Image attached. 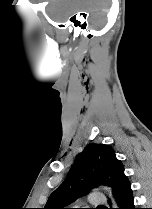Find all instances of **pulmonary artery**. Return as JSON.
I'll return each mask as SVG.
<instances>
[{"mask_svg": "<svg viewBox=\"0 0 152 209\" xmlns=\"http://www.w3.org/2000/svg\"><path fill=\"white\" fill-rule=\"evenodd\" d=\"M88 200L89 203L94 206L103 205L106 202V199L99 192L91 194Z\"/></svg>", "mask_w": 152, "mask_h": 209, "instance_id": "pulmonary-artery-1", "label": "pulmonary artery"}]
</instances>
